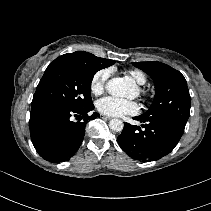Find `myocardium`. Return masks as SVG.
<instances>
[{
    "instance_id": "1",
    "label": "myocardium",
    "mask_w": 211,
    "mask_h": 211,
    "mask_svg": "<svg viewBox=\"0 0 211 211\" xmlns=\"http://www.w3.org/2000/svg\"><path fill=\"white\" fill-rule=\"evenodd\" d=\"M141 93L144 95V96H146V97H148L149 96V94L146 92V91H141Z\"/></svg>"
}]
</instances>
